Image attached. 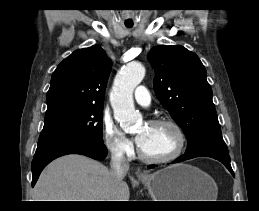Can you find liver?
<instances>
[{
	"label": "liver",
	"mask_w": 259,
	"mask_h": 211,
	"mask_svg": "<svg viewBox=\"0 0 259 211\" xmlns=\"http://www.w3.org/2000/svg\"><path fill=\"white\" fill-rule=\"evenodd\" d=\"M129 196L126 182L116 184L106 166L78 154L51 162L34 188L35 201H129Z\"/></svg>",
	"instance_id": "6515ba94"
}]
</instances>
